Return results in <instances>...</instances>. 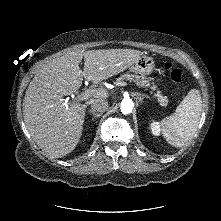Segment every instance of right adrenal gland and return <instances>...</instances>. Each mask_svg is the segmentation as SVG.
<instances>
[{
	"label": "right adrenal gland",
	"mask_w": 221,
	"mask_h": 221,
	"mask_svg": "<svg viewBox=\"0 0 221 221\" xmlns=\"http://www.w3.org/2000/svg\"><path fill=\"white\" fill-rule=\"evenodd\" d=\"M89 114L93 116V118H99L101 114L93 113L92 111H89Z\"/></svg>",
	"instance_id": "obj_1"
}]
</instances>
